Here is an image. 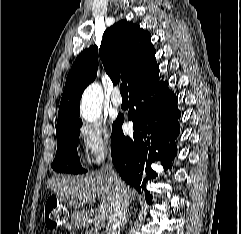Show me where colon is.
<instances>
[{"instance_id":"1","label":"colon","mask_w":241,"mask_h":234,"mask_svg":"<svg viewBox=\"0 0 241 234\" xmlns=\"http://www.w3.org/2000/svg\"><path fill=\"white\" fill-rule=\"evenodd\" d=\"M44 221L48 229H55L66 221V210L54 196L45 202Z\"/></svg>"}]
</instances>
